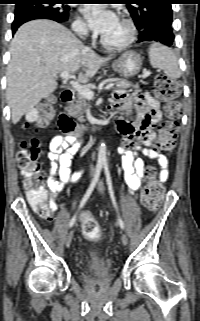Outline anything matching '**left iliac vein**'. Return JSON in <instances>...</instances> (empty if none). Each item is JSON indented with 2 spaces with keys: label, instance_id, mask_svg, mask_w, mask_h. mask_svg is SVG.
I'll return each instance as SVG.
<instances>
[{
  "label": "left iliac vein",
  "instance_id": "obj_1",
  "mask_svg": "<svg viewBox=\"0 0 200 321\" xmlns=\"http://www.w3.org/2000/svg\"><path fill=\"white\" fill-rule=\"evenodd\" d=\"M98 191L100 192V193H103L104 192V186H103V183H102V181H99V183H98ZM121 241H122V244L123 245H126L127 243H128V238H127V236L125 235V234H123L122 236H121Z\"/></svg>",
  "mask_w": 200,
  "mask_h": 321
}]
</instances>
